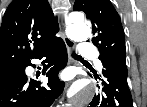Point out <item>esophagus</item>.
Wrapping results in <instances>:
<instances>
[{"label":"esophagus","instance_id":"34e87169","mask_svg":"<svg viewBox=\"0 0 147 107\" xmlns=\"http://www.w3.org/2000/svg\"><path fill=\"white\" fill-rule=\"evenodd\" d=\"M64 42H65V44H66V47H67V49L69 50V51H74V49H75V42L74 41H72L71 39H69L68 37H66V36H64Z\"/></svg>","mask_w":147,"mask_h":107}]
</instances>
